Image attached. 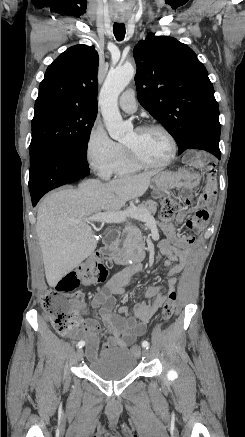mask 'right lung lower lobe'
Masks as SVG:
<instances>
[{"label": "right lung lower lobe", "instance_id": "right-lung-lower-lobe-1", "mask_svg": "<svg viewBox=\"0 0 245 437\" xmlns=\"http://www.w3.org/2000/svg\"><path fill=\"white\" fill-rule=\"evenodd\" d=\"M90 172L86 159L64 156L56 152H44L30 162L29 190L35 206L48 191L75 182Z\"/></svg>", "mask_w": 245, "mask_h": 437}]
</instances>
